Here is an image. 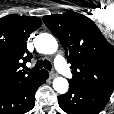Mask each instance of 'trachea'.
<instances>
[{"label": "trachea", "instance_id": "trachea-1", "mask_svg": "<svg viewBox=\"0 0 114 114\" xmlns=\"http://www.w3.org/2000/svg\"><path fill=\"white\" fill-rule=\"evenodd\" d=\"M41 68H45V69L51 71L52 66H51V63L46 59L45 60H38L36 62V65L32 69H29V70H38Z\"/></svg>", "mask_w": 114, "mask_h": 114}]
</instances>
